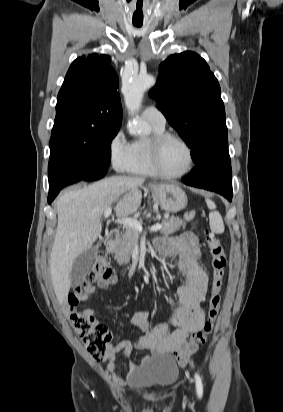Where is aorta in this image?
<instances>
[{"label": "aorta", "instance_id": "1", "mask_svg": "<svg viewBox=\"0 0 283 412\" xmlns=\"http://www.w3.org/2000/svg\"><path fill=\"white\" fill-rule=\"evenodd\" d=\"M155 79L152 76L132 77L124 80L122 92L124 95L125 105L129 115H134L140 108L145 91L154 86ZM140 121L130 122L127 126L130 134L139 132Z\"/></svg>", "mask_w": 283, "mask_h": 412}]
</instances>
